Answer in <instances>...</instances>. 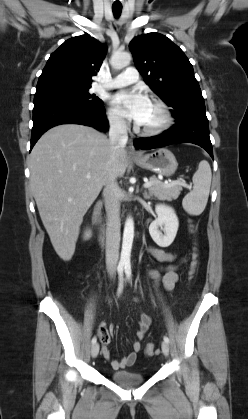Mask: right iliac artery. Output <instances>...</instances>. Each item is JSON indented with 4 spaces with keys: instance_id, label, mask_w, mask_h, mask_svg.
<instances>
[{
    "instance_id": "obj_1",
    "label": "right iliac artery",
    "mask_w": 248,
    "mask_h": 419,
    "mask_svg": "<svg viewBox=\"0 0 248 419\" xmlns=\"http://www.w3.org/2000/svg\"><path fill=\"white\" fill-rule=\"evenodd\" d=\"M118 275H119V287H118V295L122 292L123 289V265L119 264L117 267ZM97 341L96 337L92 338V344H95Z\"/></svg>"
}]
</instances>
